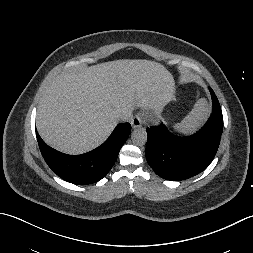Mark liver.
<instances>
[{
  "label": "liver",
  "mask_w": 253,
  "mask_h": 253,
  "mask_svg": "<svg viewBox=\"0 0 253 253\" xmlns=\"http://www.w3.org/2000/svg\"><path fill=\"white\" fill-rule=\"evenodd\" d=\"M174 78L161 64L122 59L57 76L43 94L36 124L42 139L67 154L100 146L135 106L162 108L174 92Z\"/></svg>",
  "instance_id": "1"
}]
</instances>
